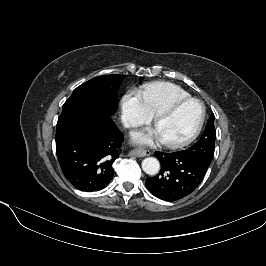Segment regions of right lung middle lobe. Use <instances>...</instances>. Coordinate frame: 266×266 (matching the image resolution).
I'll list each match as a JSON object with an SVG mask.
<instances>
[{"instance_id": "dd1d6c3e", "label": "right lung middle lobe", "mask_w": 266, "mask_h": 266, "mask_svg": "<svg viewBox=\"0 0 266 266\" xmlns=\"http://www.w3.org/2000/svg\"><path fill=\"white\" fill-rule=\"evenodd\" d=\"M122 75H103L78 86L64 103L65 110L105 112L109 115L117 109V93Z\"/></svg>"}]
</instances>
